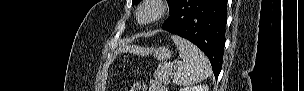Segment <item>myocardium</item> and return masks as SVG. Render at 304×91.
Returning <instances> with one entry per match:
<instances>
[{"label": "myocardium", "instance_id": "myocardium-1", "mask_svg": "<svg viewBox=\"0 0 304 91\" xmlns=\"http://www.w3.org/2000/svg\"><path fill=\"white\" fill-rule=\"evenodd\" d=\"M144 8H151L153 10V14L148 19L142 20L140 18V14ZM168 11L167 1L164 0H143L138 6L135 17L137 22L140 25H151L158 22L160 19L164 17V15Z\"/></svg>", "mask_w": 304, "mask_h": 91}]
</instances>
